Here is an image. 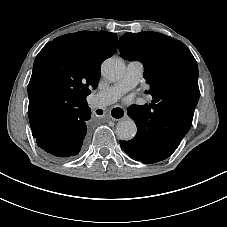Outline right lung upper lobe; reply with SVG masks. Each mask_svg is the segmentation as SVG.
<instances>
[{
	"label": "right lung upper lobe",
	"instance_id": "obj_1",
	"mask_svg": "<svg viewBox=\"0 0 227 227\" xmlns=\"http://www.w3.org/2000/svg\"><path fill=\"white\" fill-rule=\"evenodd\" d=\"M117 35L80 31L47 43L37 55L28 85V114L35 122L59 126L70 113L87 105L86 97L98 85L103 60L117 50Z\"/></svg>",
	"mask_w": 227,
	"mask_h": 227
}]
</instances>
